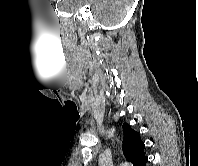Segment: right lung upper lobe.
<instances>
[{"label": "right lung upper lobe", "instance_id": "right-lung-upper-lobe-1", "mask_svg": "<svg viewBox=\"0 0 198 166\" xmlns=\"http://www.w3.org/2000/svg\"><path fill=\"white\" fill-rule=\"evenodd\" d=\"M122 128L124 132L122 148L126 159L133 166H142L147 157L144 154L145 145L139 133L134 131L127 123H124Z\"/></svg>", "mask_w": 198, "mask_h": 166}]
</instances>
